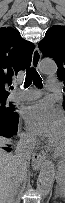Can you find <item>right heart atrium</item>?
<instances>
[{
    "label": "right heart atrium",
    "instance_id": "obj_1",
    "mask_svg": "<svg viewBox=\"0 0 65 203\" xmlns=\"http://www.w3.org/2000/svg\"><path fill=\"white\" fill-rule=\"evenodd\" d=\"M21 138L29 146L33 145L36 142V138L34 137V135L29 132H23L21 134Z\"/></svg>",
    "mask_w": 65,
    "mask_h": 203
}]
</instances>
